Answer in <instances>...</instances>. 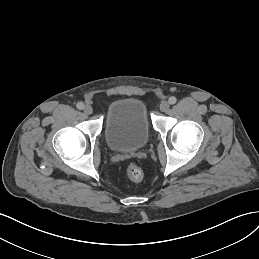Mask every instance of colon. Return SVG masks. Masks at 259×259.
<instances>
[{"instance_id":"5ec220e1","label":"colon","mask_w":259,"mask_h":259,"mask_svg":"<svg viewBox=\"0 0 259 259\" xmlns=\"http://www.w3.org/2000/svg\"><path fill=\"white\" fill-rule=\"evenodd\" d=\"M128 178L133 182H139L143 178V171L136 164H130L126 170Z\"/></svg>"}]
</instances>
